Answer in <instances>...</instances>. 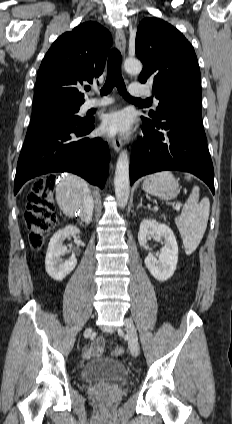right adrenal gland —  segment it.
I'll return each instance as SVG.
<instances>
[{"instance_id": "2a0ac1e0", "label": "right adrenal gland", "mask_w": 232, "mask_h": 424, "mask_svg": "<svg viewBox=\"0 0 232 424\" xmlns=\"http://www.w3.org/2000/svg\"><path fill=\"white\" fill-rule=\"evenodd\" d=\"M79 224H80V225H84V224H83V221H81V220H79ZM87 224H88V222H86V223H85V225H87Z\"/></svg>"}]
</instances>
